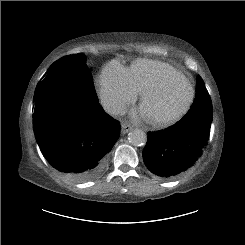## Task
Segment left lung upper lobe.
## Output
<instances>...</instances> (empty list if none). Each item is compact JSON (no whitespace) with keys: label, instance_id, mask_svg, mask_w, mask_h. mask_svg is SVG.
<instances>
[{"label":"left lung upper lobe","instance_id":"obj_1","mask_svg":"<svg viewBox=\"0 0 245 245\" xmlns=\"http://www.w3.org/2000/svg\"><path fill=\"white\" fill-rule=\"evenodd\" d=\"M199 80H202L201 77L197 78V82ZM200 99L195 98L190 110L187 112V114L180 120V122L182 123H189V122H193V121H201V117H203V115L201 114V111H205V109H201L199 107V105L197 104L198 101ZM206 114V113H205Z\"/></svg>","mask_w":245,"mask_h":245}]
</instances>
